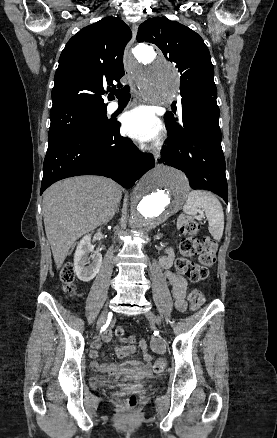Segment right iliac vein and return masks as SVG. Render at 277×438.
I'll use <instances>...</instances> for the list:
<instances>
[{
	"instance_id": "obj_1",
	"label": "right iliac vein",
	"mask_w": 277,
	"mask_h": 438,
	"mask_svg": "<svg viewBox=\"0 0 277 438\" xmlns=\"http://www.w3.org/2000/svg\"><path fill=\"white\" fill-rule=\"evenodd\" d=\"M107 314H108V310H107V309H105V310L101 313V315H100V317H99V319H98V322H97V326H98V328L102 327L103 324L105 323L106 318H107Z\"/></svg>"
}]
</instances>
